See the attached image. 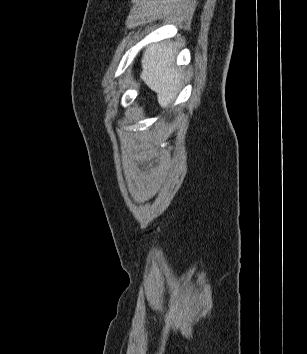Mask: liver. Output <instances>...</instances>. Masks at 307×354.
Masks as SVG:
<instances>
[{
    "label": "liver",
    "mask_w": 307,
    "mask_h": 354,
    "mask_svg": "<svg viewBox=\"0 0 307 354\" xmlns=\"http://www.w3.org/2000/svg\"><path fill=\"white\" fill-rule=\"evenodd\" d=\"M177 45L161 42L147 47L142 57L141 79L157 93L159 104L167 108L181 86L182 71L174 65Z\"/></svg>",
    "instance_id": "obj_1"
}]
</instances>
